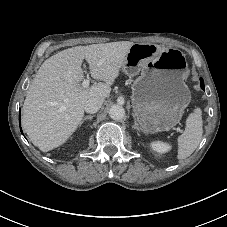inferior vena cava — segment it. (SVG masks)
<instances>
[{
	"instance_id": "obj_1",
	"label": "inferior vena cava",
	"mask_w": 227,
	"mask_h": 227,
	"mask_svg": "<svg viewBox=\"0 0 227 227\" xmlns=\"http://www.w3.org/2000/svg\"><path fill=\"white\" fill-rule=\"evenodd\" d=\"M104 102L103 98H90L86 101L84 109L88 113H96Z\"/></svg>"
}]
</instances>
